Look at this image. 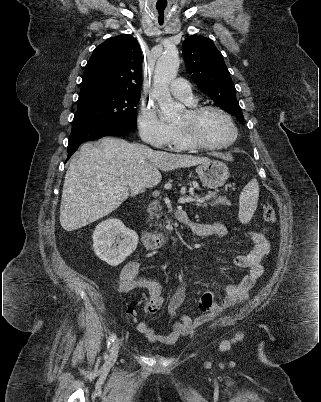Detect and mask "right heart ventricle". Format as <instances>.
<instances>
[{
	"instance_id": "right-heart-ventricle-1",
	"label": "right heart ventricle",
	"mask_w": 321,
	"mask_h": 402,
	"mask_svg": "<svg viewBox=\"0 0 321 402\" xmlns=\"http://www.w3.org/2000/svg\"><path fill=\"white\" fill-rule=\"evenodd\" d=\"M194 105V104H192ZM170 145H172L175 149L178 150H189L193 149L192 146L186 143V141L183 139L180 131L177 129V127H173V136Z\"/></svg>"
}]
</instances>
